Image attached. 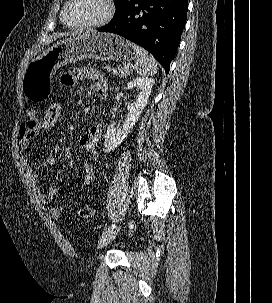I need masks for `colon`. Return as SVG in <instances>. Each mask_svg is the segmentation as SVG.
I'll return each mask as SVG.
<instances>
[{"label":"colon","mask_w":272,"mask_h":303,"mask_svg":"<svg viewBox=\"0 0 272 303\" xmlns=\"http://www.w3.org/2000/svg\"><path fill=\"white\" fill-rule=\"evenodd\" d=\"M102 69L112 75L118 74V69L109 62L102 63ZM62 107L59 101H52L46 107L43 115L39 117V133L41 136H49L53 134L61 120ZM93 215V209L89 206L83 207L79 211L82 219H88Z\"/></svg>","instance_id":"colon-1"}]
</instances>
